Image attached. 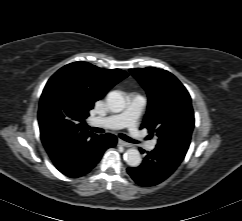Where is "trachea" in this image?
Segmentation results:
<instances>
[{
    "label": "trachea",
    "instance_id": "obj_1",
    "mask_svg": "<svg viewBox=\"0 0 242 221\" xmlns=\"http://www.w3.org/2000/svg\"><path fill=\"white\" fill-rule=\"evenodd\" d=\"M88 129L93 131V132H96V133H104V130L101 129V128L89 127L88 126ZM119 137L121 139H123L124 141L130 142V143H139L138 141L131 139L130 137L126 136L125 134H119Z\"/></svg>",
    "mask_w": 242,
    "mask_h": 221
}]
</instances>
